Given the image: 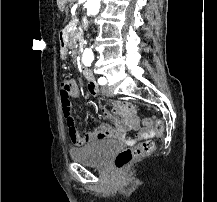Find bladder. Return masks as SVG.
<instances>
[{
	"mask_svg": "<svg viewBox=\"0 0 217 202\" xmlns=\"http://www.w3.org/2000/svg\"><path fill=\"white\" fill-rule=\"evenodd\" d=\"M119 144L114 140H104L86 145L84 148L72 149L71 158L84 165H101L116 151Z\"/></svg>",
	"mask_w": 217,
	"mask_h": 202,
	"instance_id": "1",
	"label": "bladder"
}]
</instances>
